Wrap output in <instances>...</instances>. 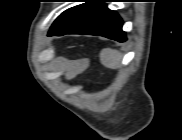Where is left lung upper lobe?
<instances>
[{"instance_id": "left-lung-upper-lobe-1", "label": "left lung upper lobe", "mask_w": 182, "mask_h": 140, "mask_svg": "<svg viewBox=\"0 0 182 140\" xmlns=\"http://www.w3.org/2000/svg\"><path fill=\"white\" fill-rule=\"evenodd\" d=\"M103 2V0H85V3L67 9L54 21L48 35H64L69 29L101 7Z\"/></svg>"}]
</instances>
